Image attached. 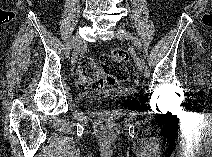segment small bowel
I'll return each instance as SVG.
<instances>
[{
  "mask_svg": "<svg viewBox=\"0 0 212 157\" xmlns=\"http://www.w3.org/2000/svg\"><path fill=\"white\" fill-rule=\"evenodd\" d=\"M87 60H88V59H86V58L81 59L80 67H81Z\"/></svg>",
  "mask_w": 212,
  "mask_h": 157,
  "instance_id": "1",
  "label": "small bowel"
}]
</instances>
